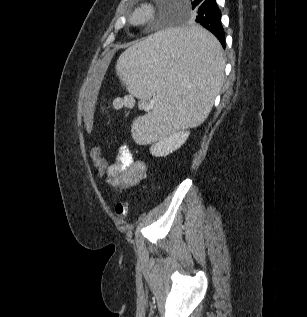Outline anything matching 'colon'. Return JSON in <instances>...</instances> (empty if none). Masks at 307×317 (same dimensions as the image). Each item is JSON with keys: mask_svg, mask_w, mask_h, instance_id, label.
Returning <instances> with one entry per match:
<instances>
[{"mask_svg": "<svg viewBox=\"0 0 307 317\" xmlns=\"http://www.w3.org/2000/svg\"><path fill=\"white\" fill-rule=\"evenodd\" d=\"M91 155H92L93 164L97 170L98 176L100 177L105 176L108 165L106 161L102 158L100 149L94 148L92 150ZM115 212L119 218L125 219L128 215V201L121 200L120 202H118L115 207Z\"/></svg>", "mask_w": 307, "mask_h": 317, "instance_id": "5ec220e1", "label": "colon"}]
</instances>
